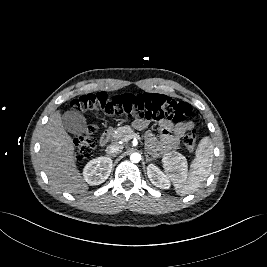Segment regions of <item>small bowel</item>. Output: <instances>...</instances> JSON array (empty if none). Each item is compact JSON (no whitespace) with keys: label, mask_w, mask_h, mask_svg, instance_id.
<instances>
[{"label":"small bowel","mask_w":267,"mask_h":267,"mask_svg":"<svg viewBox=\"0 0 267 267\" xmlns=\"http://www.w3.org/2000/svg\"><path fill=\"white\" fill-rule=\"evenodd\" d=\"M134 126L139 130H143L147 128L148 122L144 119H138L134 122ZM159 127L160 133L158 136L151 131L146 133L147 146L153 153L179 149L182 138L193 128V123L172 124L168 121H161Z\"/></svg>","instance_id":"1"}]
</instances>
